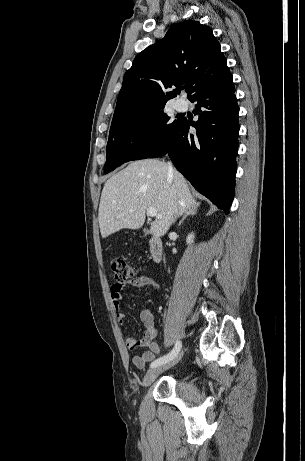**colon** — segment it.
<instances>
[{
	"instance_id": "1",
	"label": "colon",
	"mask_w": 305,
	"mask_h": 461,
	"mask_svg": "<svg viewBox=\"0 0 305 461\" xmlns=\"http://www.w3.org/2000/svg\"><path fill=\"white\" fill-rule=\"evenodd\" d=\"M111 270L119 282H126L135 278L139 271L137 266L128 263L120 257L111 260Z\"/></svg>"
}]
</instances>
